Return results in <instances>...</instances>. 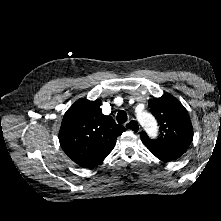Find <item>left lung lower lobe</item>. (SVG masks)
<instances>
[{
    "mask_svg": "<svg viewBox=\"0 0 221 221\" xmlns=\"http://www.w3.org/2000/svg\"><path fill=\"white\" fill-rule=\"evenodd\" d=\"M187 150L186 147H181L177 150L174 151H157V150H150V152L155 155L158 159L164 161V162H169L172 160H176L180 158L185 151Z\"/></svg>",
    "mask_w": 221,
    "mask_h": 221,
    "instance_id": "obj_1",
    "label": "left lung lower lobe"
}]
</instances>
